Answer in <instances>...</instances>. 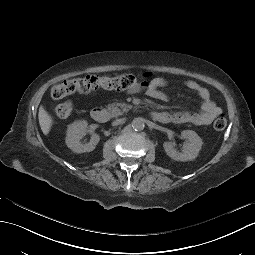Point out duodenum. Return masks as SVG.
Wrapping results in <instances>:
<instances>
[{
  "instance_id": "410a0bca",
  "label": "duodenum",
  "mask_w": 255,
  "mask_h": 255,
  "mask_svg": "<svg viewBox=\"0 0 255 255\" xmlns=\"http://www.w3.org/2000/svg\"><path fill=\"white\" fill-rule=\"evenodd\" d=\"M90 116L93 120L104 123L110 119V114L102 107H95L90 111ZM151 118L160 123H169L171 115L167 112L154 111L151 113Z\"/></svg>"
}]
</instances>
